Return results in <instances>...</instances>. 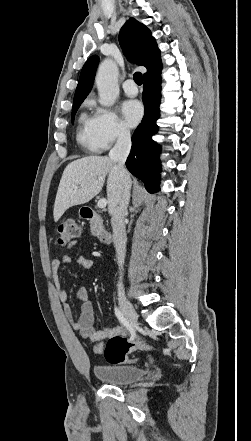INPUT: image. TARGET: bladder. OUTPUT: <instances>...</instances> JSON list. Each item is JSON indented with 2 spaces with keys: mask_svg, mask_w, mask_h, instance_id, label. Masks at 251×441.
I'll return each instance as SVG.
<instances>
[{
  "mask_svg": "<svg viewBox=\"0 0 251 441\" xmlns=\"http://www.w3.org/2000/svg\"><path fill=\"white\" fill-rule=\"evenodd\" d=\"M93 373L96 378L110 385H126L140 380L144 371L138 367L127 365H95Z\"/></svg>",
  "mask_w": 251,
  "mask_h": 441,
  "instance_id": "bladder-1",
  "label": "bladder"
}]
</instances>
